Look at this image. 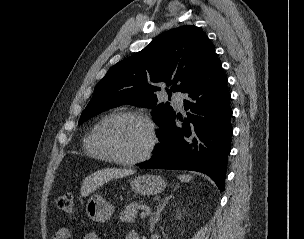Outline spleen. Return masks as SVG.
<instances>
[{"label": "spleen", "mask_w": 304, "mask_h": 239, "mask_svg": "<svg viewBox=\"0 0 304 239\" xmlns=\"http://www.w3.org/2000/svg\"><path fill=\"white\" fill-rule=\"evenodd\" d=\"M180 178L182 180L188 181V180H190L192 178V176H190V175H182V176H180Z\"/></svg>", "instance_id": "spleen-1"}]
</instances>
